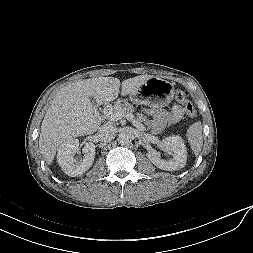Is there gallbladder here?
Segmentation results:
<instances>
[{"label": "gallbladder", "mask_w": 253, "mask_h": 253, "mask_svg": "<svg viewBox=\"0 0 253 253\" xmlns=\"http://www.w3.org/2000/svg\"><path fill=\"white\" fill-rule=\"evenodd\" d=\"M89 100H90V102L94 105V106H98V103L96 102V100H95V98L94 97H92V96H90L89 97Z\"/></svg>", "instance_id": "1"}]
</instances>
